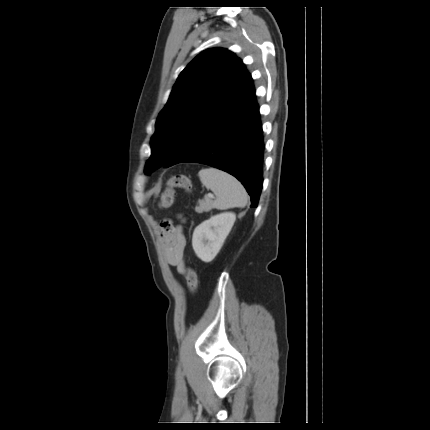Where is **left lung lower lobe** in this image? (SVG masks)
Here are the masks:
<instances>
[{
	"mask_svg": "<svg viewBox=\"0 0 430 430\" xmlns=\"http://www.w3.org/2000/svg\"><path fill=\"white\" fill-rule=\"evenodd\" d=\"M191 137L189 145L165 167L197 162L228 172L246 188L250 207H257L263 184L264 141L255 94L235 115L206 119Z\"/></svg>",
	"mask_w": 430,
	"mask_h": 430,
	"instance_id": "0a47b994",
	"label": "left lung lower lobe"
}]
</instances>
